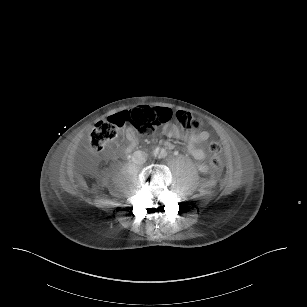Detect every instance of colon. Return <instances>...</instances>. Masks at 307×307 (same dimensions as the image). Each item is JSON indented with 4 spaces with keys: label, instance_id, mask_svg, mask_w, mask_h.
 I'll use <instances>...</instances> for the list:
<instances>
[{
    "label": "colon",
    "instance_id": "colon-1",
    "mask_svg": "<svg viewBox=\"0 0 307 307\" xmlns=\"http://www.w3.org/2000/svg\"><path fill=\"white\" fill-rule=\"evenodd\" d=\"M188 133H195L201 128V121L194 117L189 111L178 110L175 113L165 107L139 106L126 112L118 118L112 115L106 120H99L89 136L88 152L96 154L104 149V146L116 138L125 124L135 127L140 133L148 135L156 127L173 119ZM211 155V169L219 171L222 168L223 145L217 140H212L208 145Z\"/></svg>",
    "mask_w": 307,
    "mask_h": 307
}]
</instances>
